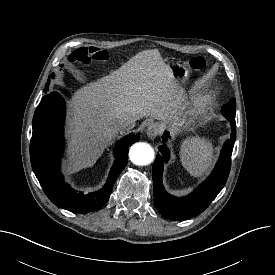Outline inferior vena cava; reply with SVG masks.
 Returning a JSON list of instances; mask_svg holds the SVG:
<instances>
[{
	"mask_svg": "<svg viewBox=\"0 0 275 275\" xmlns=\"http://www.w3.org/2000/svg\"><path fill=\"white\" fill-rule=\"evenodd\" d=\"M136 119L130 116H125L117 121V128L121 131H126L134 128Z\"/></svg>",
	"mask_w": 275,
	"mask_h": 275,
	"instance_id": "inferior-vena-cava-1",
	"label": "inferior vena cava"
}]
</instances>
